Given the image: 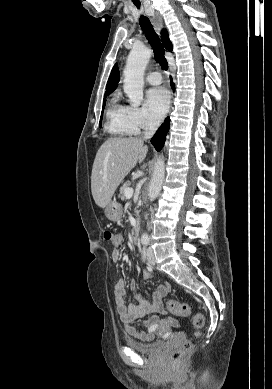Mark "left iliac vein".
I'll return each mask as SVG.
<instances>
[{
    "label": "left iliac vein",
    "mask_w": 272,
    "mask_h": 389,
    "mask_svg": "<svg viewBox=\"0 0 272 389\" xmlns=\"http://www.w3.org/2000/svg\"><path fill=\"white\" fill-rule=\"evenodd\" d=\"M147 255H148V263L151 264V265H154L155 264V258H154V253H153V250L152 248H148L147 250Z\"/></svg>",
    "instance_id": "obj_1"
}]
</instances>
